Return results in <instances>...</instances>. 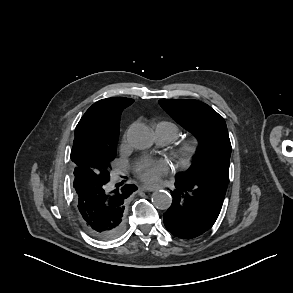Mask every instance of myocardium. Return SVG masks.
<instances>
[{"mask_svg":"<svg viewBox=\"0 0 293 293\" xmlns=\"http://www.w3.org/2000/svg\"><path fill=\"white\" fill-rule=\"evenodd\" d=\"M199 149V143L196 139H188L180 143L176 155L181 166H188L195 158Z\"/></svg>","mask_w":293,"mask_h":293,"instance_id":"obj_1","label":"myocardium"}]
</instances>
